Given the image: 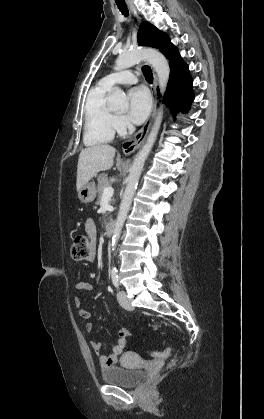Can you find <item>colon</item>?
Segmentation results:
<instances>
[{
	"label": "colon",
	"instance_id": "colon-1",
	"mask_svg": "<svg viewBox=\"0 0 264 419\" xmlns=\"http://www.w3.org/2000/svg\"><path fill=\"white\" fill-rule=\"evenodd\" d=\"M90 254V241L88 236L84 234H78L73 240L71 247L72 258L76 261H82L87 259ZM159 327V325H156ZM172 354V348H166L162 351L154 352L153 356L157 358H167Z\"/></svg>",
	"mask_w": 264,
	"mask_h": 419
}]
</instances>
